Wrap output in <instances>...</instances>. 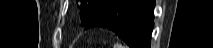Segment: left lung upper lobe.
<instances>
[{
	"label": "left lung upper lobe",
	"instance_id": "obj_1",
	"mask_svg": "<svg viewBox=\"0 0 213 48\" xmlns=\"http://www.w3.org/2000/svg\"><path fill=\"white\" fill-rule=\"evenodd\" d=\"M110 0H76L79 2V9L84 26L88 20Z\"/></svg>",
	"mask_w": 213,
	"mask_h": 48
}]
</instances>
